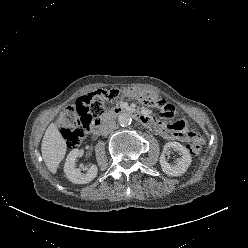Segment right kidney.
I'll return each mask as SVG.
<instances>
[{"mask_svg": "<svg viewBox=\"0 0 248 248\" xmlns=\"http://www.w3.org/2000/svg\"><path fill=\"white\" fill-rule=\"evenodd\" d=\"M82 152L78 149H73L67 156L64 164V173L68 180L75 184H86L91 182L98 173L96 165L92 164L86 173H81L79 168L75 167V161Z\"/></svg>", "mask_w": 248, "mask_h": 248, "instance_id": "1", "label": "right kidney"}]
</instances>
